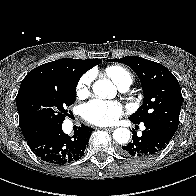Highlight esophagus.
<instances>
[{
    "label": "esophagus",
    "instance_id": "esophagus-1",
    "mask_svg": "<svg viewBox=\"0 0 196 196\" xmlns=\"http://www.w3.org/2000/svg\"><path fill=\"white\" fill-rule=\"evenodd\" d=\"M114 129H115L114 127L104 128V130H107V131H113Z\"/></svg>",
    "mask_w": 196,
    "mask_h": 196
}]
</instances>
